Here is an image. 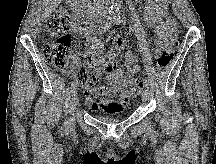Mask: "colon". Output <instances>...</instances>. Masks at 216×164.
Wrapping results in <instances>:
<instances>
[{
    "instance_id": "1",
    "label": "colon",
    "mask_w": 216,
    "mask_h": 164,
    "mask_svg": "<svg viewBox=\"0 0 216 164\" xmlns=\"http://www.w3.org/2000/svg\"><path fill=\"white\" fill-rule=\"evenodd\" d=\"M75 20L65 9L58 10L48 21L47 28L51 41L43 47L45 59L64 73H71L83 88H95L100 79V69L93 67H75L72 60V43L69 31L74 28ZM178 47V34L175 26L168 33L166 48L157 58L158 69L166 68L173 60ZM143 78L137 77L132 83L133 95L141 93Z\"/></svg>"
}]
</instances>
